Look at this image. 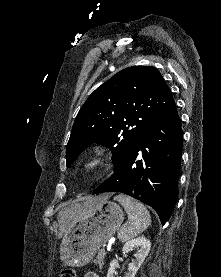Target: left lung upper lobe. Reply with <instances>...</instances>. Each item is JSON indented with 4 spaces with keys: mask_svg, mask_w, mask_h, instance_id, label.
<instances>
[{
    "mask_svg": "<svg viewBox=\"0 0 221 277\" xmlns=\"http://www.w3.org/2000/svg\"><path fill=\"white\" fill-rule=\"evenodd\" d=\"M171 90L151 66L115 74L90 94L79 110L67 144V166L92 142L113 151L114 171L146 128L173 104Z\"/></svg>",
    "mask_w": 221,
    "mask_h": 277,
    "instance_id": "left-lung-upper-lobe-1",
    "label": "left lung upper lobe"
}]
</instances>
